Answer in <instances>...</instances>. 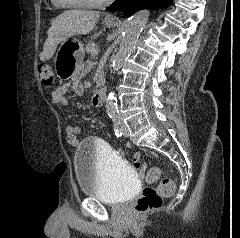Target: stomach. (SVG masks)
Instances as JSON below:
<instances>
[{
    "label": "stomach",
    "mask_w": 240,
    "mask_h": 238,
    "mask_svg": "<svg viewBox=\"0 0 240 238\" xmlns=\"http://www.w3.org/2000/svg\"><path fill=\"white\" fill-rule=\"evenodd\" d=\"M113 27L116 23H106ZM84 59V47L78 39L67 38L61 42L54 57L56 75L61 79L71 78L78 70Z\"/></svg>",
    "instance_id": "stomach-1"
}]
</instances>
